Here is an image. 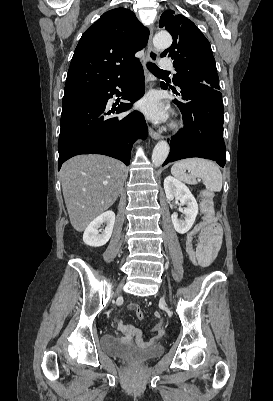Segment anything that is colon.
<instances>
[{"label": "colon", "mask_w": 273, "mask_h": 401, "mask_svg": "<svg viewBox=\"0 0 273 401\" xmlns=\"http://www.w3.org/2000/svg\"><path fill=\"white\" fill-rule=\"evenodd\" d=\"M204 232H201V241H219L220 240V226L217 224L213 216L207 215L204 222L201 224ZM135 315L138 318L144 315V308L139 305L135 309Z\"/></svg>", "instance_id": "obj_1"}]
</instances>
